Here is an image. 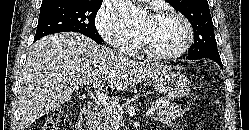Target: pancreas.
Here are the masks:
<instances>
[{"label": "pancreas", "mask_w": 249, "mask_h": 130, "mask_svg": "<svg viewBox=\"0 0 249 130\" xmlns=\"http://www.w3.org/2000/svg\"><path fill=\"white\" fill-rule=\"evenodd\" d=\"M158 103L153 105L155 109L156 119L163 124H169L177 117L183 116L189 108L182 110L181 106L170 103L169 100L158 98ZM103 123L101 130H118L121 125V119L116 115L109 113L107 110L103 111Z\"/></svg>", "instance_id": "pancreas-1"}]
</instances>
